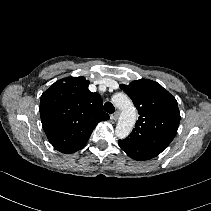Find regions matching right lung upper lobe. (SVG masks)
<instances>
[{
  "mask_svg": "<svg viewBox=\"0 0 211 211\" xmlns=\"http://www.w3.org/2000/svg\"><path fill=\"white\" fill-rule=\"evenodd\" d=\"M84 77L56 81L41 96L40 116L50 143L62 153H74L85 146L100 121L109 119L98 93L88 89Z\"/></svg>",
  "mask_w": 211,
  "mask_h": 211,
  "instance_id": "right-lung-upper-lobe-1",
  "label": "right lung upper lobe"
}]
</instances>
